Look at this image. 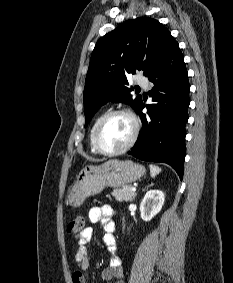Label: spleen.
Returning a JSON list of instances; mask_svg holds the SVG:
<instances>
[{
	"mask_svg": "<svg viewBox=\"0 0 233 283\" xmlns=\"http://www.w3.org/2000/svg\"><path fill=\"white\" fill-rule=\"evenodd\" d=\"M160 172H161V168H159L156 165H152V164L150 165V174L152 178H155V176Z\"/></svg>",
	"mask_w": 233,
	"mask_h": 283,
	"instance_id": "3e777b00",
	"label": "spleen"
}]
</instances>
